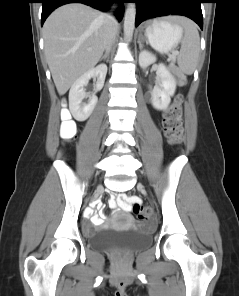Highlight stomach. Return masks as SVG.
Listing matches in <instances>:
<instances>
[{
  "instance_id": "1",
  "label": "stomach",
  "mask_w": 239,
  "mask_h": 296,
  "mask_svg": "<svg viewBox=\"0 0 239 296\" xmlns=\"http://www.w3.org/2000/svg\"><path fill=\"white\" fill-rule=\"evenodd\" d=\"M145 35L152 47L166 53L179 42L182 29L168 22H160L147 27Z\"/></svg>"
}]
</instances>
